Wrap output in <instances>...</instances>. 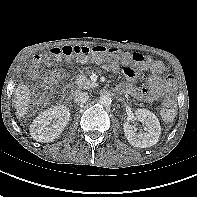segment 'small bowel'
Instances as JSON below:
<instances>
[{"instance_id": "c3829d8e", "label": "small bowel", "mask_w": 197, "mask_h": 197, "mask_svg": "<svg viewBox=\"0 0 197 197\" xmlns=\"http://www.w3.org/2000/svg\"><path fill=\"white\" fill-rule=\"evenodd\" d=\"M123 72L128 83L121 84L119 87L124 92L132 94L135 98L147 102H153L162 98H167L168 102H173L172 95L175 85L171 77H162L164 65L160 61H153L149 66L150 75L147 78L145 86H134L137 79V74L130 66L129 60L122 61ZM35 77L36 73L33 72Z\"/></svg>"}]
</instances>
